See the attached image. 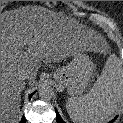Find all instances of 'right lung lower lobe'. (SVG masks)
<instances>
[{
    "mask_svg": "<svg viewBox=\"0 0 123 123\" xmlns=\"http://www.w3.org/2000/svg\"><path fill=\"white\" fill-rule=\"evenodd\" d=\"M33 94H34V93H32V94L29 96V98H31ZM20 123H26V119H25L24 117H22Z\"/></svg>",
    "mask_w": 123,
    "mask_h": 123,
    "instance_id": "right-lung-lower-lobe-1",
    "label": "right lung lower lobe"
}]
</instances>
